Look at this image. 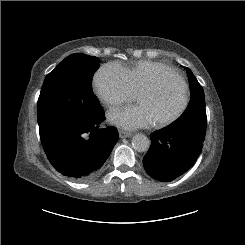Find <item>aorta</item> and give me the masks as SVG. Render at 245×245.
Segmentation results:
<instances>
[{
	"mask_svg": "<svg viewBox=\"0 0 245 245\" xmlns=\"http://www.w3.org/2000/svg\"><path fill=\"white\" fill-rule=\"evenodd\" d=\"M132 147L138 152H145L150 147V140L144 134H136L132 138Z\"/></svg>",
	"mask_w": 245,
	"mask_h": 245,
	"instance_id": "1",
	"label": "aorta"
}]
</instances>
